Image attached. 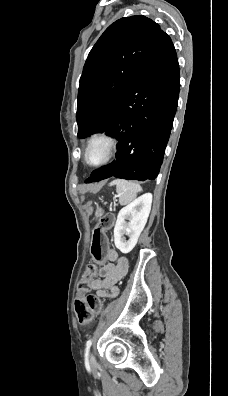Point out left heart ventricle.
Segmentation results:
<instances>
[{
  "label": "left heart ventricle",
  "instance_id": "left-heart-ventricle-1",
  "mask_svg": "<svg viewBox=\"0 0 228 396\" xmlns=\"http://www.w3.org/2000/svg\"><path fill=\"white\" fill-rule=\"evenodd\" d=\"M107 152L106 143L103 141H95L88 152V158L91 162H99L101 161Z\"/></svg>",
  "mask_w": 228,
  "mask_h": 396
}]
</instances>
